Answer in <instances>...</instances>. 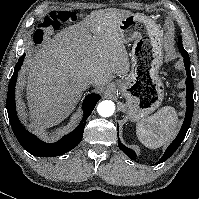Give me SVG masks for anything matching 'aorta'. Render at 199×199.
Masks as SVG:
<instances>
[{
  "mask_svg": "<svg viewBox=\"0 0 199 199\" xmlns=\"http://www.w3.org/2000/svg\"><path fill=\"white\" fill-rule=\"evenodd\" d=\"M115 105L112 101L104 100L97 107L98 114L102 117H109L114 113Z\"/></svg>",
  "mask_w": 199,
  "mask_h": 199,
  "instance_id": "1",
  "label": "aorta"
}]
</instances>
